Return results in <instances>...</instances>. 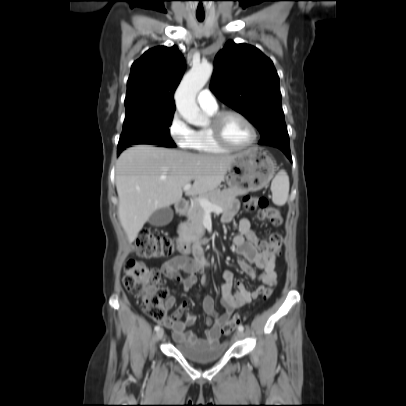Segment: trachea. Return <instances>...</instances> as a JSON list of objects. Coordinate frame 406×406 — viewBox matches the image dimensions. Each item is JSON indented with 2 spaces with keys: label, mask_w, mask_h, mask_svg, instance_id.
<instances>
[{
  "label": "trachea",
  "mask_w": 406,
  "mask_h": 406,
  "mask_svg": "<svg viewBox=\"0 0 406 406\" xmlns=\"http://www.w3.org/2000/svg\"><path fill=\"white\" fill-rule=\"evenodd\" d=\"M199 22H202L204 20V17H197Z\"/></svg>",
  "instance_id": "obj_1"
}]
</instances>
